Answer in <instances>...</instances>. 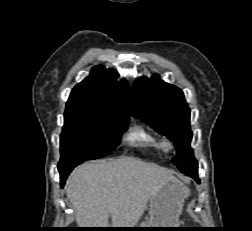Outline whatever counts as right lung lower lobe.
Returning <instances> with one entry per match:
<instances>
[{
    "mask_svg": "<svg viewBox=\"0 0 252 231\" xmlns=\"http://www.w3.org/2000/svg\"><path fill=\"white\" fill-rule=\"evenodd\" d=\"M74 167H76V166H71V167L59 170L60 178H61V186L62 187H63L68 175L74 169Z\"/></svg>",
    "mask_w": 252,
    "mask_h": 231,
    "instance_id": "98d812e1",
    "label": "right lung lower lobe"
}]
</instances>
